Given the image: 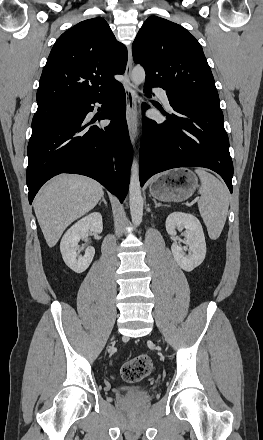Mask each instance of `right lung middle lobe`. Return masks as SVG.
I'll return each instance as SVG.
<instances>
[{"label": "right lung middle lobe", "instance_id": "right-lung-middle-lobe-1", "mask_svg": "<svg viewBox=\"0 0 263 440\" xmlns=\"http://www.w3.org/2000/svg\"><path fill=\"white\" fill-rule=\"evenodd\" d=\"M70 102L38 107L32 120V133L39 131L53 121L70 114Z\"/></svg>", "mask_w": 263, "mask_h": 440}]
</instances>
